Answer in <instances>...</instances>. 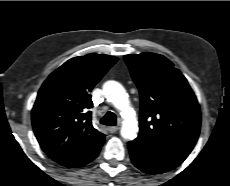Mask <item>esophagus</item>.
Segmentation results:
<instances>
[{"label":"esophagus","instance_id":"1","mask_svg":"<svg viewBox=\"0 0 230 186\" xmlns=\"http://www.w3.org/2000/svg\"><path fill=\"white\" fill-rule=\"evenodd\" d=\"M118 130H119V126L109 127V128H108V131H109L110 133H115V132H117Z\"/></svg>","mask_w":230,"mask_h":186}]
</instances>
